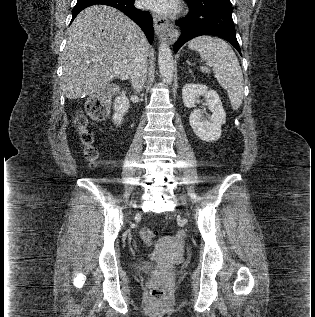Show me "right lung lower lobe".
<instances>
[{"instance_id":"98d812e1","label":"right lung lower lobe","mask_w":315,"mask_h":317,"mask_svg":"<svg viewBox=\"0 0 315 317\" xmlns=\"http://www.w3.org/2000/svg\"><path fill=\"white\" fill-rule=\"evenodd\" d=\"M134 1L135 0H77V4L72 10V20L86 7L97 4L108 5L120 10L136 22L144 31L149 43L152 44L154 34L152 17L149 12L135 8Z\"/></svg>"}]
</instances>
